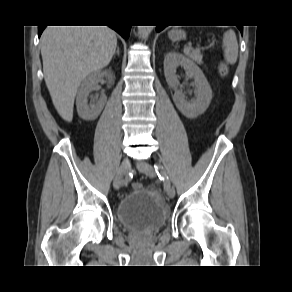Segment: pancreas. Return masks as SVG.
Returning <instances> with one entry per match:
<instances>
[{
    "label": "pancreas",
    "instance_id": "cf45deb5",
    "mask_svg": "<svg viewBox=\"0 0 292 292\" xmlns=\"http://www.w3.org/2000/svg\"><path fill=\"white\" fill-rule=\"evenodd\" d=\"M185 54L191 58L193 61H195L198 64H202V55L199 50L196 49H189L188 51L185 52Z\"/></svg>",
    "mask_w": 292,
    "mask_h": 292
}]
</instances>
